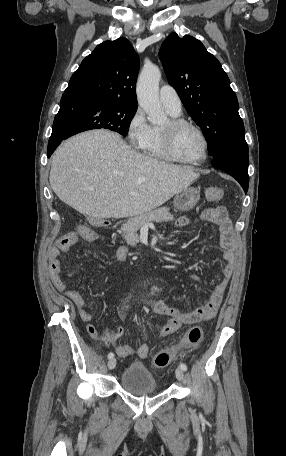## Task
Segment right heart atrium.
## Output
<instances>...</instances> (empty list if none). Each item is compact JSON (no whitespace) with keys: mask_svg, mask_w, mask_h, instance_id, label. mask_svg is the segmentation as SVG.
Segmentation results:
<instances>
[{"mask_svg":"<svg viewBox=\"0 0 286 456\" xmlns=\"http://www.w3.org/2000/svg\"><path fill=\"white\" fill-rule=\"evenodd\" d=\"M127 139L131 146L143 148L147 143L151 127L147 123L145 114L141 108H137L131 116L127 125Z\"/></svg>","mask_w":286,"mask_h":456,"instance_id":"right-heart-atrium-1","label":"right heart atrium"}]
</instances>
